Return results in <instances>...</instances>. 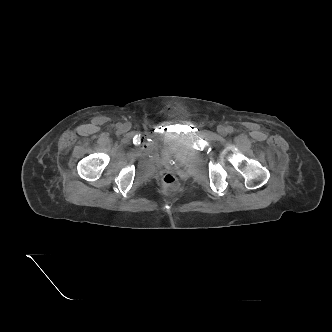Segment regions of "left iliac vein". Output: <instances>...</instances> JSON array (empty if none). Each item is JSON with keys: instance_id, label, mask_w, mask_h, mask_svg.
I'll return each instance as SVG.
<instances>
[{"instance_id": "left-iliac-vein-1", "label": "left iliac vein", "mask_w": 332, "mask_h": 332, "mask_svg": "<svg viewBox=\"0 0 332 332\" xmlns=\"http://www.w3.org/2000/svg\"><path fill=\"white\" fill-rule=\"evenodd\" d=\"M218 132L221 134V135H226L227 134V129L225 126L223 125H219L218 128H217Z\"/></svg>"}]
</instances>
